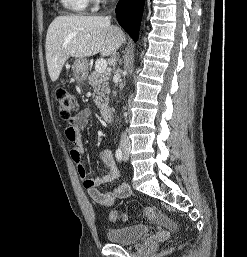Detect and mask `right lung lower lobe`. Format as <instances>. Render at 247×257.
<instances>
[{"label":"right lung lower lobe","mask_w":247,"mask_h":257,"mask_svg":"<svg viewBox=\"0 0 247 257\" xmlns=\"http://www.w3.org/2000/svg\"><path fill=\"white\" fill-rule=\"evenodd\" d=\"M144 0H121L116 6V16L121 27L137 41L143 13Z\"/></svg>","instance_id":"right-lung-lower-lobe-1"}]
</instances>
